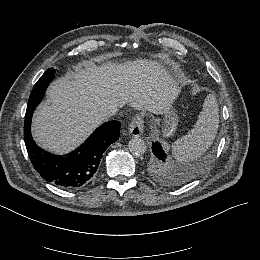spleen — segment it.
Segmentation results:
<instances>
[{
    "mask_svg": "<svg viewBox=\"0 0 260 260\" xmlns=\"http://www.w3.org/2000/svg\"><path fill=\"white\" fill-rule=\"evenodd\" d=\"M218 128L219 108L217 99L213 94H208L194 128L172 143L173 157L181 163H188L201 157L213 144ZM162 145L166 152L170 150V145L166 141H163Z\"/></svg>",
    "mask_w": 260,
    "mask_h": 260,
    "instance_id": "3e777b00",
    "label": "spleen"
}]
</instances>
